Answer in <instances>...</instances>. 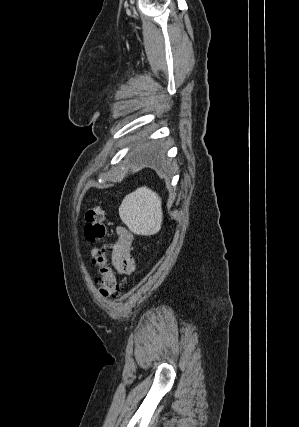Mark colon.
Instances as JSON below:
<instances>
[{
    "mask_svg": "<svg viewBox=\"0 0 299 427\" xmlns=\"http://www.w3.org/2000/svg\"><path fill=\"white\" fill-rule=\"evenodd\" d=\"M85 237L91 243H98L110 235L105 223V211L99 204L89 207L85 214ZM98 266V288L103 297L118 298L123 293V284L119 281L106 258L99 254L93 259Z\"/></svg>",
    "mask_w": 299,
    "mask_h": 427,
    "instance_id": "colon-1",
    "label": "colon"
}]
</instances>
